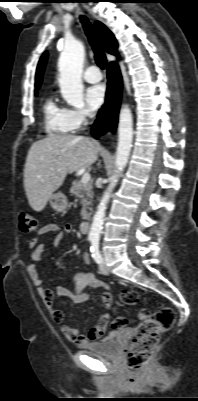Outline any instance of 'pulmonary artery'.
<instances>
[{
	"label": "pulmonary artery",
	"mask_w": 198,
	"mask_h": 401,
	"mask_svg": "<svg viewBox=\"0 0 198 401\" xmlns=\"http://www.w3.org/2000/svg\"><path fill=\"white\" fill-rule=\"evenodd\" d=\"M83 78L88 83H97L102 79V73L98 67L90 66L85 70Z\"/></svg>",
	"instance_id": "obj_1"
}]
</instances>
